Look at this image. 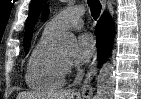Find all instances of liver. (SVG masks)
I'll use <instances>...</instances> for the list:
<instances>
[{
    "label": "liver",
    "mask_w": 141,
    "mask_h": 99,
    "mask_svg": "<svg viewBox=\"0 0 141 99\" xmlns=\"http://www.w3.org/2000/svg\"><path fill=\"white\" fill-rule=\"evenodd\" d=\"M75 92L64 90L49 93L22 92L18 94L17 99H74Z\"/></svg>",
    "instance_id": "obj_1"
}]
</instances>
